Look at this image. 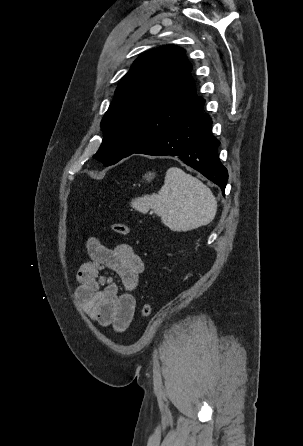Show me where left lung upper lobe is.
I'll return each instance as SVG.
<instances>
[{
	"instance_id": "5c2ea615",
	"label": "left lung upper lobe",
	"mask_w": 303,
	"mask_h": 446,
	"mask_svg": "<svg viewBox=\"0 0 303 446\" xmlns=\"http://www.w3.org/2000/svg\"><path fill=\"white\" fill-rule=\"evenodd\" d=\"M185 50L167 45L139 56L104 115L94 158L117 163L168 134L200 99Z\"/></svg>"
}]
</instances>
